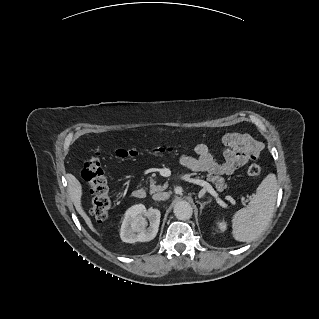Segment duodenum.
I'll return each instance as SVG.
<instances>
[{"label": "duodenum", "mask_w": 319, "mask_h": 319, "mask_svg": "<svg viewBox=\"0 0 319 319\" xmlns=\"http://www.w3.org/2000/svg\"><path fill=\"white\" fill-rule=\"evenodd\" d=\"M132 196L135 199H139V200L144 199L146 197V191L143 188L135 189L132 192Z\"/></svg>", "instance_id": "duodenum-1"}]
</instances>
